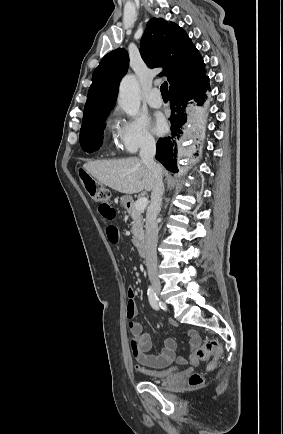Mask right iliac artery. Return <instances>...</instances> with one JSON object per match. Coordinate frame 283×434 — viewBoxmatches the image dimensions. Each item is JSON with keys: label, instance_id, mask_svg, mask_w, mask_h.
Returning a JSON list of instances; mask_svg holds the SVG:
<instances>
[{"label": "right iliac artery", "instance_id": "82829eb1", "mask_svg": "<svg viewBox=\"0 0 283 434\" xmlns=\"http://www.w3.org/2000/svg\"><path fill=\"white\" fill-rule=\"evenodd\" d=\"M148 299H149V303L151 305V307L155 310H159L160 307V303H159V299L156 295V293L154 292L152 287L148 288Z\"/></svg>", "mask_w": 283, "mask_h": 434}]
</instances>
